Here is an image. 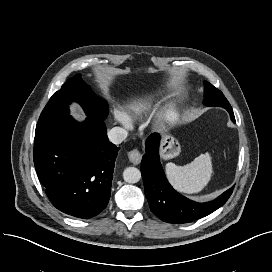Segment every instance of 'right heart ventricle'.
Instances as JSON below:
<instances>
[{
    "label": "right heart ventricle",
    "mask_w": 272,
    "mask_h": 272,
    "mask_svg": "<svg viewBox=\"0 0 272 272\" xmlns=\"http://www.w3.org/2000/svg\"><path fill=\"white\" fill-rule=\"evenodd\" d=\"M152 106V99L150 97H141L134 101L124 113V119L127 122L134 121L141 117Z\"/></svg>",
    "instance_id": "obj_1"
}]
</instances>
